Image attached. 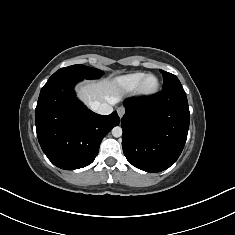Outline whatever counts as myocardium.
Segmentation results:
<instances>
[{
  "label": "myocardium",
  "instance_id": "obj_1",
  "mask_svg": "<svg viewBox=\"0 0 235 235\" xmlns=\"http://www.w3.org/2000/svg\"><path fill=\"white\" fill-rule=\"evenodd\" d=\"M149 78H154L155 79V84L151 88L146 87V82ZM159 87H160V82H159L158 77L154 74H146L142 78V80H141V82H140V84L137 88V93L140 94V95H151V94L156 93L158 91Z\"/></svg>",
  "mask_w": 235,
  "mask_h": 235
}]
</instances>
